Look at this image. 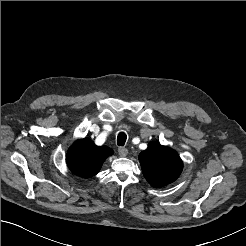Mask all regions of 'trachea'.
<instances>
[{"label":"trachea","mask_w":246,"mask_h":246,"mask_svg":"<svg viewBox=\"0 0 246 246\" xmlns=\"http://www.w3.org/2000/svg\"><path fill=\"white\" fill-rule=\"evenodd\" d=\"M127 139V135L124 132H120L117 136V144L119 146H124Z\"/></svg>","instance_id":"obj_1"}]
</instances>
